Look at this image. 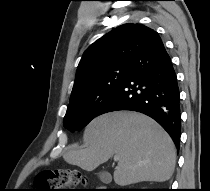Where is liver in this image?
<instances>
[{"label": "liver", "mask_w": 210, "mask_h": 191, "mask_svg": "<svg viewBox=\"0 0 210 191\" xmlns=\"http://www.w3.org/2000/svg\"><path fill=\"white\" fill-rule=\"evenodd\" d=\"M84 148L67 151L63 158L92 171L118 155L114 181L126 186L171 178L176 150L170 136L153 119L137 112L115 111L92 120L85 128Z\"/></svg>", "instance_id": "6515ba94"}]
</instances>
